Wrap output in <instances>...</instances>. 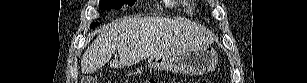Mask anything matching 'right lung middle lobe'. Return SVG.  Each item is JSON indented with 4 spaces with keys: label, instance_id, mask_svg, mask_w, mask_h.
Here are the masks:
<instances>
[{
    "label": "right lung middle lobe",
    "instance_id": "obj_1",
    "mask_svg": "<svg viewBox=\"0 0 307 83\" xmlns=\"http://www.w3.org/2000/svg\"><path fill=\"white\" fill-rule=\"evenodd\" d=\"M136 0H101L100 1V8L101 9H110L115 8L119 9L124 4H128L132 6L135 3ZM97 23L93 24L95 26Z\"/></svg>",
    "mask_w": 307,
    "mask_h": 83
}]
</instances>
